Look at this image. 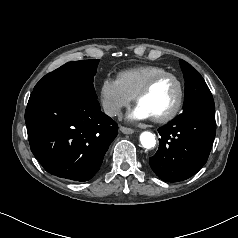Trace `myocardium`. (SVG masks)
<instances>
[{
  "mask_svg": "<svg viewBox=\"0 0 238 238\" xmlns=\"http://www.w3.org/2000/svg\"><path fill=\"white\" fill-rule=\"evenodd\" d=\"M166 77L172 78L176 82L177 87H178V96H177V100H176L173 108L168 113L158 116V117L151 118L156 123H165V122L171 121L180 112L182 105H183L184 94H185V88H184V84H183V81L181 80V78H179L176 74L167 72V71L157 74V75H154L142 86V88L136 93V95L134 97V101L138 105L140 99L142 97H144L146 94H148L150 92V90L153 88V86L159 80L166 78Z\"/></svg>",
  "mask_w": 238,
  "mask_h": 238,
  "instance_id": "f54148a6",
  "label": "myocardium"
}]
</instances>
